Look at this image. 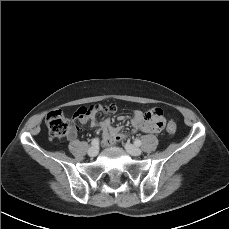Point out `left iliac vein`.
I'll return each mask as SVG.
<instances>
[{"mask_svg": "<svg viewBox=\"0 0 229 229\" xmlns=\"http://www.w3.org/2000/svg\"><path fill=\"white\" fill-rule=\"evenodd\" d=\"M124 147L126 151L132 156H140L142 154V150L133 144L126 143Z\"/></svg>", "mask_w": 229, "mask_h": 229, "instance_id": "1", "label": "left iliac vein"}]
</instances>
